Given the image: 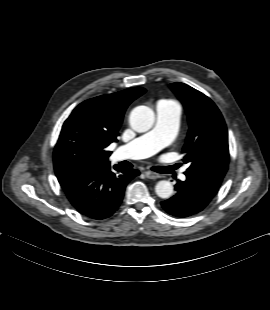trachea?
<instances>
[{"instance_id":"obj_1","label":"trachea","mask_w":270,"mask_h":310,"mask_svg":"<svg viewBox=\"0 0 270 310\" xmlns=\"http://www.w3.org/2000/svg\"><path fill=\"white\" fill-rule=\"evenodd\" d=\"M122 165L127 166V167H131V164L127 161H123ZM167 167L165 166H156L153 168L154 171L159 172V173H164L166 171Z\"/></svg>"}]
</instances>
